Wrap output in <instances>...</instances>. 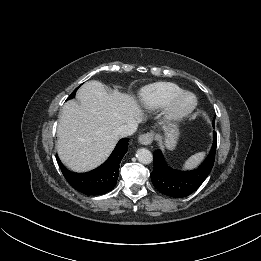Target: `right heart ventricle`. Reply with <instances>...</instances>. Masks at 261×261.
I'll return each instance as SVG.
<instances>
[{"mask_svg":"<svg viewBox=\"0 0 261 261\" xmlns=\"http://www.w3.org/2000/svg\"><path fill=\"white\" fill-rule=\"evenodd\" d=\"M183 89L171 82H157L145 86L140 92V104L149 111L166 107Z\"/></svg>","mask_w":261,"mask_h":261,"instance_id":"right-heart-ventricle-1","label":"right heart ventricle"}]
</instances>
